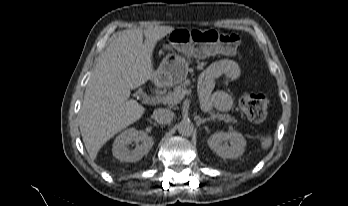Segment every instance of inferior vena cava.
<instances>
[{"label":"inferior vena cava","instance_id":"obj_1","mask_svg":"<svg viewBox=\"0 0 348 206\" xmlns=\"http://www.w3.org/2000/svg\"><path fill=\"white\" fill-rule=\"evenodd\" d=\"M174 118V113L166 108H158L153 111V119L158 124H168Z\"/></svg>","mask_w":348,"mask_h":206}]
</instances>
